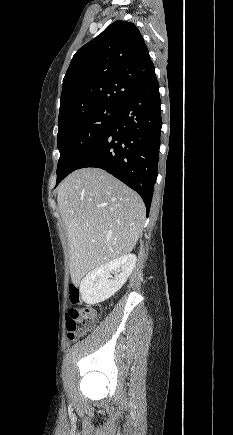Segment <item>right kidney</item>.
Instances as JSON below:
<instances>
[{
  "label": "right kidney",
  "instance_id": "right-kidney-1",
  "mask_svg": "<svg viewBox=\"0 0 233 435\" xmlns=\"http://www.w3.org/2000/svg\"><path fill=\"white\" fill-rule=\"evenodd\" d=\"M135 264L136 256L127 254L89 272L80 283L82 300L95 305L113 296L125 284Z\"/></svg>",
  "mask_w": 233,
  "mask_h": 435
}]
</instances>
